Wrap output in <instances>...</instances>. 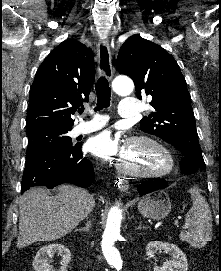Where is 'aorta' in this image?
Segmentation results:
<instances>
[{
  "instance_id": "aorta-1",
  "label": "aorta",
  "mask_w": 221,
  "mask_h": 271,
  "mask_svg": "<svg viewBox=\"0 0 221 271\" xmlns=\"http://www.w3.org/2000/svg\"><path fill=\"white\" fill-rule=\"evenodd\" d=\"M114 91L119 95H129L134 89L133 81L127 77H117L112 83ZM122 220V210L119 206L110 209L106 228L102 236V252L108 264L117 271L122 269V260L118 249L114 246L120 236V225Z\"/></svg>"
}]
</instances>
